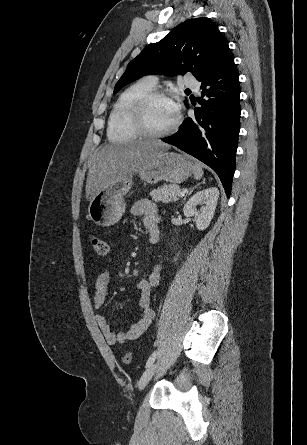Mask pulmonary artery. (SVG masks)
I'll return each instance as SVG.
<instances>
[{"label": "pulmonary artery", "instance_id": "obj_1", "mask_svg": "<svg viewBox=\"0 0 307 445\" xmlns=\"http://www.w3.org/2000/svg\"><path fill=\"white\" fill-rule=\"evenodd\" d=\"M147 82L152 87H155L157 84L155 79H149ZM178 87L180 90H199L200 83L199 81H192V77L190 75H183Z\"/></svg>", "mask_w": 307, "mask_h": 445}]
</instances>
